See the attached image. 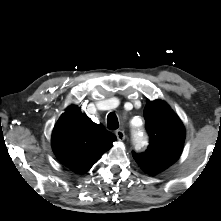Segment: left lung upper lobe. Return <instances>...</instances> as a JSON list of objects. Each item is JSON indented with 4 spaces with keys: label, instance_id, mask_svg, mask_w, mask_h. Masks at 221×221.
<instances>
[{
    "label": "left lung upper lobe",
    "instance_id": "1",
    "mask_svg": "<svg viewBox=\"0 0 221 221\" xmlns=\"http://www.w3.org/2000/svg\"><path fill=\"white\" fill-rule=\"evenodd\" d=\"M150 145L133 157L143 170L156 174L172 165L181 155L185 129L179 117L161 100L148 101L144 109Z\"/></svg>",
    "mask_w": 221,
    "mask_h": 221
}]
</instances>
